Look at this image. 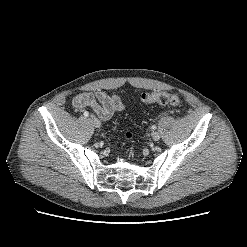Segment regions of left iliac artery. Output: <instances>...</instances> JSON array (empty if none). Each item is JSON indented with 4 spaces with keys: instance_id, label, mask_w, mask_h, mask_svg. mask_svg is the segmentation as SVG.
I'll return each instance as SVG.
<instances>
[{
    "instance_id": "left-iliac-artery-1",
    "label": "left iliac artery",
    "mask_w": 247,
    "mask_h": 247,
    "mask_svg": "<svg viewBox=\"0 0 247 247\" xmlns=\"http://www.w3.org/2000/svg\"><path fill=\"white\" fill-rule=\"evenodd\" d=\"M151 128H152L153 130H155L157 127H156L155 125H153Z\"/></svg>"
}]
</instances>
